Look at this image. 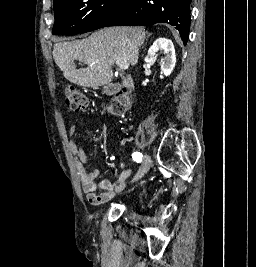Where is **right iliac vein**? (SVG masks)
Masks as SVG:
<instances>
[{
	"label": "right iliac vein",
	"instance_id": "63e3f726",
	"mask_svg": "<svg viewBox=\"0 0 256 267\" xmlns=\"http://www.w3.org/2000/svg\"><path fill=\"white\" fill-rule=\"evenodd\" d=\"M150 166H151V158L149 155L146 154L144 156V161H143L141 168L139 169L138 173L133 178V182L141 179L144 176V174L149 170Z\"/></svg>",
	"mask_w": 256,
	"mask_h": 267
}]
</instances>
